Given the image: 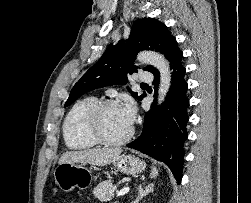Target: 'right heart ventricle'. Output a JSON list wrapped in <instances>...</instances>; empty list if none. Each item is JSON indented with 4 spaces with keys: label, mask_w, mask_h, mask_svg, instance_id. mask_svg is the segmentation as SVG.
Returning a JSON list of instances; mask_svg holds the SVG:
<instances>
[{
    "label": "right heart ventricle",
    "mask_w": 251,
    "mask_h": 203,
    "mask_svg": "<svg viewBox=\"0 0 251 203\" xmlns=\"http://www.w3.org/2000/svg\"><path fill=\"white\" fill-rule=\"evenodd\" d=\"M98 100L88 96L76 101L67 112L63 122V138L68 148L86 150L97 145L85 130L88 111Z\"/></svg>",
    "instance_id": "1"
}]
</instances>
